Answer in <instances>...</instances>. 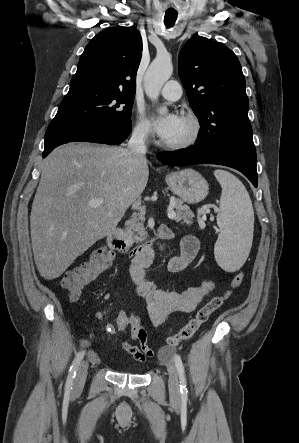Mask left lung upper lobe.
I'll use <instances>...</instances> for the list:
<instances>
[{
	"mask_svg": "<svg viewBox=\"0 0 299 443\" xmlns=\"http://www.w3.org/2000/svg\"><path fill=\"white\" fill-rule=\"evenodd\" d=\"M179 77L201 130L197 146L254 147L240 62L219 42L195 36L180 51Z\"/></svg>",
	"mask_w": 299,
	"mask_h": 443,
	"instance_id": "1",
	"label": "left lung upper lobe"
}]
</instances>
